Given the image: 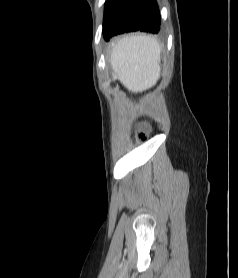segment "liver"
<instances>
[{"label": "liver", "mask_w": 238, "mask_h": 278, "mask_svg": "<svg viewBox=\"0 0 238 278\" xmlns=\"http://www.w3.org/2000/svg\"><path fill=\"white\" fill-rule=\"evenodd\" d=\"M161 46L151 35L122 37L112 45L113 78L133 93L153 87L160 78Z\"/></svg>", "instance_id": "obj_1"}]
</instances>
